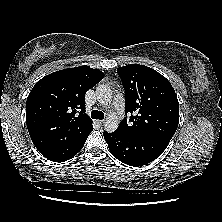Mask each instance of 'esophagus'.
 Returning a JSON list of instances; mask_svg holds the SVG:
<instances>
[{
  "label": "esophagus",
  "mask_w": 222,
  "mask_h": 222,
  "mask_svg": "<svg viewBox=\"0 0 222 222\" xmlns=\"http://www.w3.org/2000/svg\"><path fill=\"white\" fill-rule=\"evenodd\" d=\"M98 123H99L100 125H103L104 120H98Z\"/></svg>",
  "instance_id": "34e87169"
}]
</instances>
